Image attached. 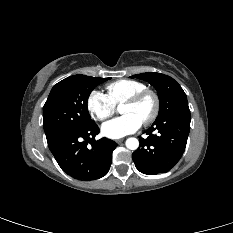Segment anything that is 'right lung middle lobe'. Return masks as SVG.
I'll list each match as a JSON object with an SVG mask.
<instances>
[{"instance_id":"obj_1","label":"right lung middle lobe","mask_w":233,"mask_h":233,"mask_svg":"<svg viewBox=\"0 0 233 233\" xmlns=\"http://www.w3.org/2000/svg\"><path fill=\"white\" fill-rule=\"evenodd\" d=\"M109 79L73 75L54 85L43 107L46 138L94 123L87 108L88 97L96 86Z\"/></svg>"}]
</instances>
